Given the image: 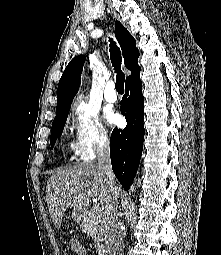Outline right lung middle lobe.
<instances>
[{
  "label": "right lung middle lobe",
  "instance_id": "1",
  "mask_svg": "<svg viewBox=\"0 0 221 255\" xmlns=\"http://www.w3.org/2000/svg\"><path fill=\"white\" fill-rule=\"evenodd\" d=\"M68 112L69 111L56 114V117L52 124V130H51V136H50L51 148H53L57 138L61 136L62 134V131L65 126V122L68 116Z\"/></svg>",
  "mask_w": 221,
  "mask_h": 255
}]
</instances>
